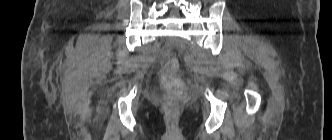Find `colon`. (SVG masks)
Returning a JSON list of instances; mask_svg holds the SVG:
<instances>
[{"label": "colon", "instance_id": "obj_1", "mask_svg": "<svg viewBox=\"0 0 332 140\" xmlns=\"http://www.w3.org/2000/svg\"><path fill=\"white\" fill-rule=\"evenodd\" d=\"M177 70L178 61L172 57L167 60L161 75V85L165 90L161 103L164 111L171 119L175 117L185 92L184 84L176 77Z\"/></svg>", "mask_w": 332, "mask_h": 140}]
</instances>
